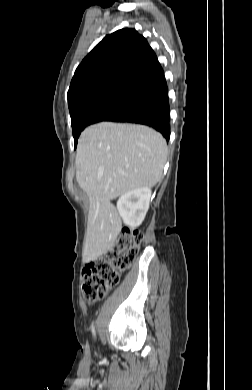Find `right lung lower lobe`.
<instances>
[{"mask_svg": "<svg viewBox=\"0 0 252 390\" xmlns=\"http://www.w3.org/2000/svg\"><path fill=\"white\" fill-rule=\"evenodd\" d=\"M169 112L168 88L166 81H163L105 121L147 125L159 131L168 141L170 138Z\"/></svg>", "mask_w": 252, "mask_h": 390, "instance_id": "right-lung-lower-lobe-1", "label": "right lung lower lobe"}]
</instances>
